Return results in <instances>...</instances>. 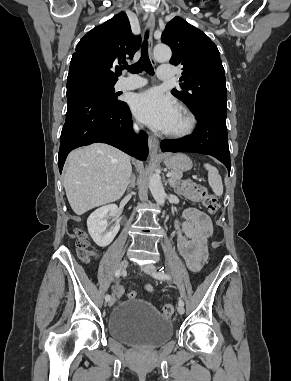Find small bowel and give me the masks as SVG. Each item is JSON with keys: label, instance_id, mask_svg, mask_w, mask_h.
I'll list each match as a JSON object with an SVG mask.
<instances>
[{"label": "small bowel", "instance_id": "obj_1", "mask_svg": "<svg viewBox=\"0 0 291 381\" xmlns=\"http://www.w3.org/2000/svg\"><path fill=\"white\" fill-rule=\"evenodd\" d=\"M183 216L186 220L183 225L185 235L178 232L177 248L188 269L196 272L206 260L207 240L212 234V224L210 218L196 208L186 209ZM146 288L150 290L151 286L147 285Z\"/></svg>", "mask_w": 291, "mask_h": 381}]
</instances>
